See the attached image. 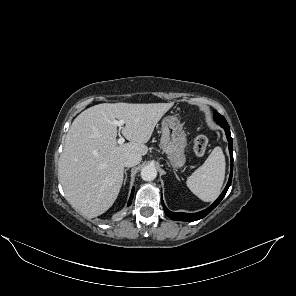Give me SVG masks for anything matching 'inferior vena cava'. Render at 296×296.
Instances as JSON below:
<instances>
[{"instance_id": "obj_1", "label": "inferior vena cava", "mask_w": 296, "mask_h": 296, "mask_svg": "<svg viewBox=\"0 0 296 296\" xmlns=\"http://www.w3.org/2000/svg\"><path fill=\"white\" fill-rule=\"evenodd\" d=\"M142 157L139 154H130L124 160V165L126 167H132L141 162Z\"/></svg>"}]
</instances>
